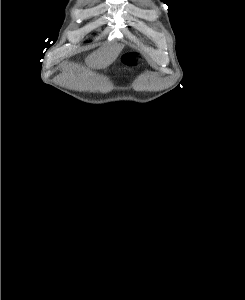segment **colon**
I'll return each mask as SVG.
<instances>
[{
	"label": "colon",
	"instance_id": "1",
	"mask_svg": "<svg viewBox=\"0 0 245 300\" xmlns=\"http://www.w3.org/2000/svg\"><path fill=\"white\" fill-rule=\"evenodd\" d=\"M124 63L126 65L132 66V65H135L136 59L134 56L130 55L125 58Z\"/></svg>",
	"mask_w": 245,
	"mask_h": 300
}]
</instances>
